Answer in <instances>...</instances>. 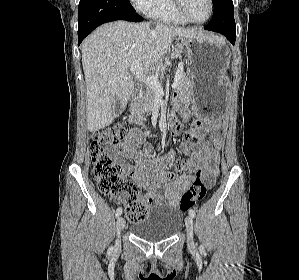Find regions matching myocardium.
I'll return each mask as SVG.
<instances>
[{
    "label": "myocardium",
    "mask_w": 299,
    "mask_h": 280,
    "mask_svg": "<svg viewBox=\"0 0 299 280\" xmlns=\"http://www.w3.org/2000/svg\"><path fill=\"white\" fill-rule=\"evenodd\" d=\"M172 1L176 12L188 23L197 24V25L204 24L211 18L213 14V9H214L213 0H208V4H209L208 15L205 19L200 21H196L188 15L185 9V0H172Z\"/></svg>",
    "instance_id": "f54148a6"
}]
</instances>
